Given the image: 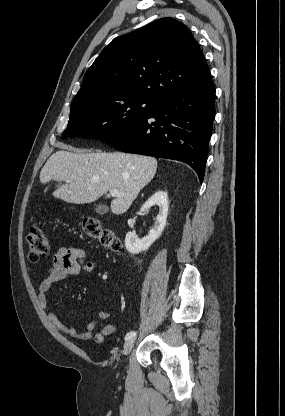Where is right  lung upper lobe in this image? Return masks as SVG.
Segmentation results:
<instances>
[{
    "mask_svg": "<svg viewBox=\"0 0 285 416\" xmlns=\"http://www.w3.org/2000/svg\"><path fill=\"white\" fill-rule=\"evenodd\" d=\"M204 55L186 25L156 20L114 39L85 73L71 110L141 97L160 104L210 82Z\"/></svg>",
    "mask_w": 285,
    "mask_h": 416,
    "instance_id": "cb5924a9",
    "label": "right lung upper lobe"
}]
</instances>
